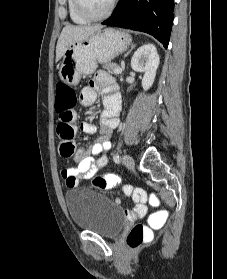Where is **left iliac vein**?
<instances>
[{
  "label": "left iliac vein",
  "instance_id": "1",
  "mask_svg": "<svg viewBox=\"0 0 227 279\" xmlns=\"http://www.w3.org/2000/svg\"><path fill=\"white\" fill-rule=\"evenodd\" d=\"M122 162L128 168H133L134 166V160L129 154L123 156Z\"/></svg>",
  "mask_w": 227,
  "mask_h": 279
}]
</instances>
